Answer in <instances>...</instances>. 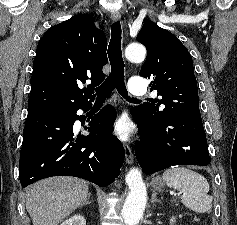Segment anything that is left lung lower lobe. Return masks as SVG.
I'll use <instances>...</instances> for the list:
<instances>
[{
  "label": "left lung lower lobe",
  "mask_w": 237,
  "mask_h": 225,
  "mask_svg": "<svg viewBox=\"0 0 237 225\" xmlns=\"http://www.w3.org/2000/svg\"><path fill=\"white\" fill-rule=\"evenodd\" d=\"M131 114L141 135L135 154L144 173L152 174L174 165L210 163L199 106L160 125L147 124L137 108L132 109Z\"/></svg>",
  "instance_id": "0a47b994"
}]
</instances>
